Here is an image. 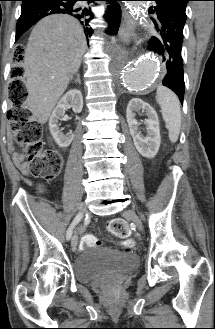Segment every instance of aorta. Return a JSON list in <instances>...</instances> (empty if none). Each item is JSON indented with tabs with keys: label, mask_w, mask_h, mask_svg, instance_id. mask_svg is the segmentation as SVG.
<instances>
[{
	"label": "aorta",
	"mask_w": 215,
	"mask_h": 329,
	"mask_svg": "<svg viewBox=\"0 0 215 329\" xmlns=\"http://www.w3.org/2000/svg\"><path fill=\"white\" fill-rule=\"evenodd\" d=\"M127 6L139 14L142 3L130 1ZM121 79L127 89L131 91L147 90L158 78L159 64L154 58L143 57L134 63L122 59L119 64Z\"/></svg>",
	"instance_id": "aorta-1"
}]
</instances>
